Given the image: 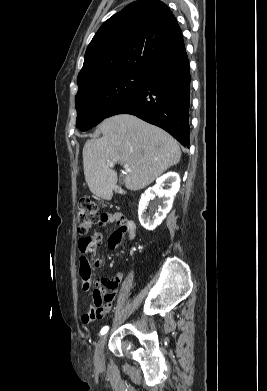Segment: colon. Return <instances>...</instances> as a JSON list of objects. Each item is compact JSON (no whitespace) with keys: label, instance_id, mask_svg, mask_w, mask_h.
<instances>
[{"label":"colon","instance_id":"5ec220e1","mask_svg":"<svg viewBox=\"0 0 267 391\" xmlns=\"http://www.w3.org/2000/svg\"><path fill=\"white\" fill-rule=\"evenodd\" d=\"M102 216L99 213L98 205L89 198H82L77 207L78 233L80 235L78 246L81 254L90 253L98 244L95 236L88 235V231L97 224H100ZM125 218L119 215V221Z\"/></svg>","mask_w":267,"mask_h":391}]
</instances>
